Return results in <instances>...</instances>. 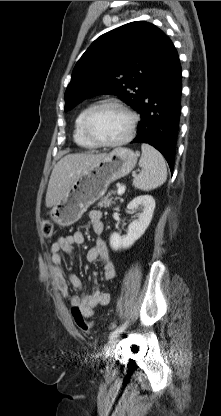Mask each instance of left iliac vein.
I'll use <instances>...</instances> for the list:
<instances>
[{"mask_svg": "<svg viewBox=\"0 0 221 416\" xmlns=\"http://www.w3.org/2000/svg\"><path fill=\"white\" fill-rule=\"evenodd\" d=\"M117 343H118V338L117 337L110 338V340L107 342V344L104 348L105 352L106 353L111 352L115 348Z\"/></svg>", "mask_w": 221, "mask_h": 416, "instance_id": "4c4485c4", "label": "left iliac vein"}]
</instances>
